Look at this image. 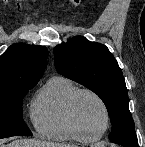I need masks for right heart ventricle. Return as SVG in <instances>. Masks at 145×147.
Returning <instances> with one entry per match:
<instances>
[{
    "label": "right heart ventricle",
    "mask_w": 145,
    "mask_h": 147,
    "mask_svg": "<svg viewBox=\"0 0 145 147\" xmlns=\"http://www.w3.org/2000/svg\"><path fill=\"white\" fill-rule=\"evenodd\" d=\"M78 89L64 76L51 77L32 102L31 118L37 134L58 142L87 141L69 120L67 103Z\"/></svg>",
    "instance_id": "e07e8e85"
}]
</instances>
